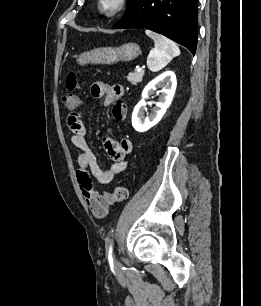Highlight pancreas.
I'll return each mask as SVG.
<instances>
[{"label":"pancreas","mask_w":261,"mask_h":306,"mask_svg":"<svg viewBox=\"0 0 261 306\" xmlns=\"http://www.w3.org/2000/svg\"><path fill=\"white\" fill-rule=\"evenodd\" d=\"M144 76V71L141 72H133L127 76V80L130 81L133 85L142 82V78Z\"/></svg>","instance_id":"obj_1"}]
</instances>
